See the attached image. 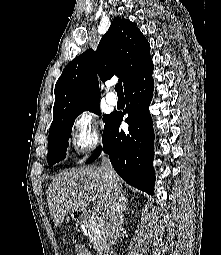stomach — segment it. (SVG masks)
Listing matches in <instances>:
<instances>
[{
  "label": "stomach",
  "mask_w": 221,
  "mask_h": 255,
  "mask_svg": "<svg viewBox=\"0 0 221 255\" xmlns=\"http://www.w3.org/2000/svg\"><path fill=\"white\" fill-rule=\"evenodd\" d=\"M73 218H75L76 220H80L81 216L78 214V212H73L72 213Z\"/></svg>",
  "instance_id": "obj_1"
}]
</instances>
